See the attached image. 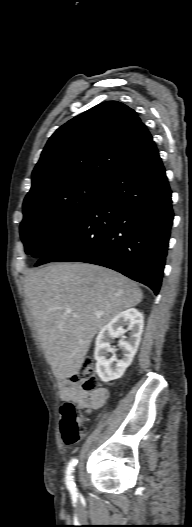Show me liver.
<instances>
[{"mask_svg": "<svg viewBox=\"0 0 192 527\" xmlns=\"http://www.w3.org/2000/svg\"><path fill=\"white\" fill-rule=\"evenodd\" d=\"M24 291L41 346L59 379L77 374L95 334L143 298L127 277L82 263L33 271L25 278Z\"/></svg>", "mask_w": 192, "mask_h": 527, "instance_id": "1", "label": "liver"}]
</instances>
